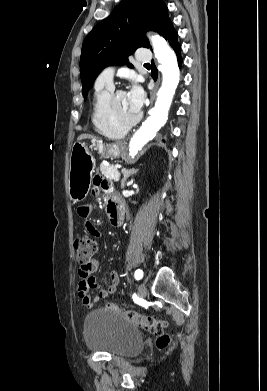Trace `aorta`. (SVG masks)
<instances>
[{"label":"aorta","instance_id":"aorta-1","mask_svg":"<svg viewBox=\"0 0 267 391\" xmlns=\"http://www.w3.org/2000/svg\"><path fill=\"white\" fill-rule=\"evenodd\" d=\"M155 57L162 73V84L157 92L155 106L149 111V117L130 141V153L135 155L153 139L166 123L168 112L180 79L177 57L166 40L159 36L150 37Z\"/></svg>","mask_w":267,"mask_h":391}]
</instances>
